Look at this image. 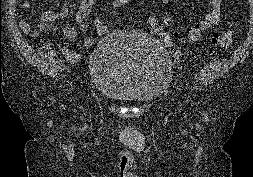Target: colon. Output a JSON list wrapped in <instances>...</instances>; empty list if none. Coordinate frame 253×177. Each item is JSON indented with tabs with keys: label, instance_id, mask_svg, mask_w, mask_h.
Wrapping results in <instances>:
<instances>
[{
	"label": "colon",
	"instance_id": "1",
	"mask_svg": "<svg viewBox=\"0 0 253 177\" xmlns=\"http://www.w3.org/2000/svg\"><path fill=\"white\" fill-rule=\"evenodd\" d=\"M132 0H111L107 9V17L104 23L110 28L115 23L116 19L131 5ZM148 29L153 34L162 39L165 44L171 48L173 55L178 59L181 56V52L178 49L176 41V33L169 29V22L167 20L159 21L156 18H150L148 21ZM236 30L229 29L214 34L212 42L215 46L223 49L229 47L235 38ZM187 64H182V67H186Z\"/></svg>",
	"mask_w": 253,
	"mask_h": 177
}]
</instances>
